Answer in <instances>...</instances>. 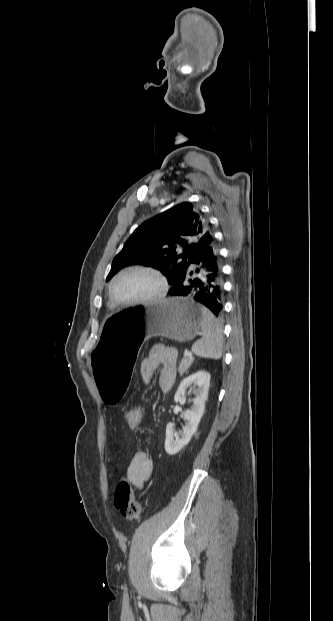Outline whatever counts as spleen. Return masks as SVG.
<instances>
[{
	"instance_id": "obj_1",
	"label": "spleen",
	"mask_w": 333,
	"mask_h": 621,
	"mask_svg": "<svg viewBox=\"0 0 333 621\" xmlns=\"http://www.w3.org/2000/svg\"><path fill=\"white\" fill-rule=\"evenodd\" d=\"M201 323L202 338L192 346L193 353L200 358L218 360L223 352L222 325L210 310L203 307Z\"/></svg>"
}]
</instances>
